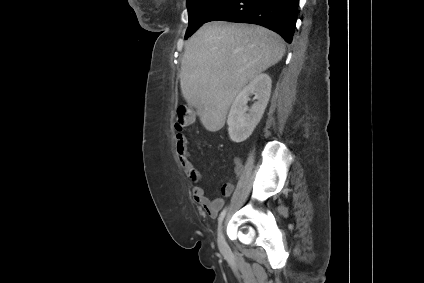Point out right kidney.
<instances>
[{
    "label": "right kidney",
    "mask_w": 424,
    "mask_h": 283,
    "mask_svg": "<svg viewBox=\"0 0 424 283\" xmlns=\"http://www.w3.org/2000/svg\"><path fill=\"white\" fill-rule=\"evenodd\" d=\"M271 84V78L266 73L258 74L235 97L227 119L232 141L243 142L252 134L268 104ZM252 94L257 101L249 109L247 103Z\"/></svg>",
    "instance_id": "obj_1"
}]
</instances>
